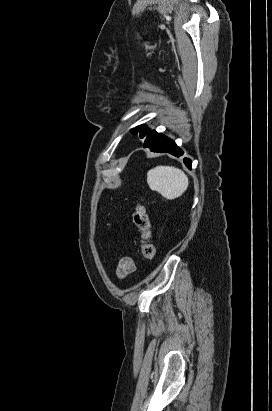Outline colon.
<instances>
[{
  "label": "colon",
  "mask_w": 272,
  "mask_h": 411,
  "mask_svg": "<svg viewBox=\"0 0 272 411\" xmlns=\"http://www.w3.org/2000/svg\"><path fill=\"white\" fill-rule=\"evenodd\" d=\"M133 221L141 232L140 248L146 260L155 258V249L151 244V223L145 207L141 203H136L133 210Z\"/></svg>",
  "instance_id": "1"
}]
</instances>
